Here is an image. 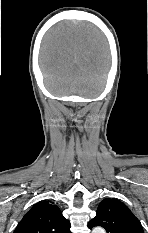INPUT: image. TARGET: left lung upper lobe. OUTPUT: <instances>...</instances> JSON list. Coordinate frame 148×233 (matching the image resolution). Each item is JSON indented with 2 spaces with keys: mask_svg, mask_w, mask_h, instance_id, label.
I'll list each match as a JSON object with an SVG mask.
<instances>
[{
  "mask_svg": "<svg viewBox=\"0 0 148 233\" xmlns=\"http://www.w3.org/2000/svg\"><path fill=\"white\" fill-rule=\"evenodd\" d=\"M102 226L107 233H144L140 221L118 199H104L88 227Z\"/></svg>",
  "mask_w": 148,
  "mask_h": 233,
  "instance_id": "5c2ea615",
  "label": "left lung upper lobe"
}]
</instances>
